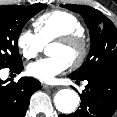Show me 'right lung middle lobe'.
<instances>
[{
  "label": "right lung middle lobe",
  "instance_id": "1",
  "mask_svg": "<svg viewBox=\"0 0 117 117\" xmlns=\"http://www.w3.org/2000/svg\"><path fill=\"white\" fill-rule=\"evenodd\" d=\"M45 4L30 6H0V69L22 63L18 50L19 34L28 22Z\"/></svg>",
  "mask_w": 117,
  "mask_h": 117
}]
</instances>
